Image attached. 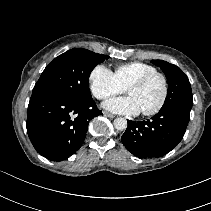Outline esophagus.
Listing matches in <instances>:
<instances>
[{
    "mask_svg": "<svg viewBox=\"0 0 211 211\" xmlns=\"http://www.w3.org/2000/svg\"><path fill=\"white\" fill-rule=\"evenodd\" d=\"M104 115H105L106 117H109V118H114V117H115V115H113V114H111V113H109V112H105Z\"/></svg>",
    "mask_w": 211,
    "mask_h": 211,
    "instance_id": "esophagus-1",
    "label": "esophagus"
}]
</instances>
